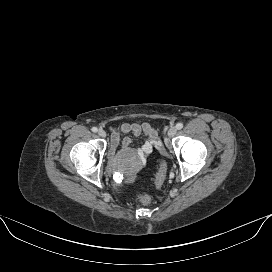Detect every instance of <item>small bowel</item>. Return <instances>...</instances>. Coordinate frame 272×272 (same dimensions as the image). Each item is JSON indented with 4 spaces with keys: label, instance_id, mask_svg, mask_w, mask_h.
Instances as JSON below:
<instances>
[{
    "label": "small bowel",
    "instance_id": "c3829d8e",
    "mask_svg": "<svg viewBox=\"0 0 272 272\" xmlns=\"http://www.w3.org/2000/svg\"><path fill=\"white\" fill-rule=\"evenodd\" d=\"M127 135L145 136V141L136 150H132L131 138ZM157 132L149 123H124L119 129H111V153L120 147L123 151L136 153L142 160L150 155L154 147H158Z\"/></svg>",
    "mask_w": 272,
    "mask_h": 272
}]
</instances>
